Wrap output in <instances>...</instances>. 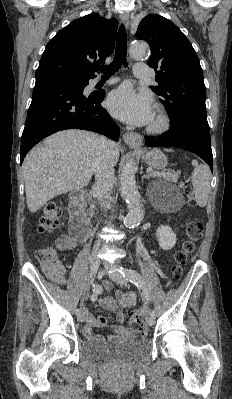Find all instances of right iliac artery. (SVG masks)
I'll list each match as a JSON object with an SVG mask.
<instances>
[{"mask_svg":"<svg viewBox=\"0 0 232 399\" xmlns=\"http://www.w3.org/2000/svg\"><path fill=\"white\" fill-rule=\"evenodd\" d=\"M95 297H96L95 294H92V295H91V298H95ZM75 314H76V315H80V314H81V311H80L79 309H76V310H75Z\"/></svg>","mask_w":232,"mask_h":399,"instance_id":"obj_1","label":"right iliac artery"}]
</instances>
